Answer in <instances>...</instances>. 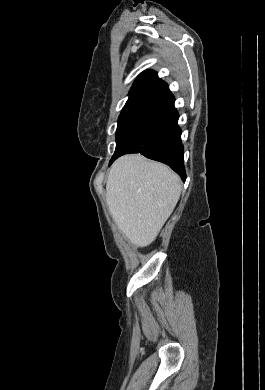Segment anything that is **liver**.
<instances>
[{
	"label": "liver",
	"instance_id": "6515ba94",
	"mask_svg": "<svg viewBox=\"0 0 265 390\" xmlns=\"http://www.w3.org/2000/svg\"><path fill=\"white\" fill-rule=\"evenodd\" d=\"M182 186L168 166L140 154L117 159L106 184V203L120 231L138 247L150 245L173 212Z\"/></svg>",
	"mask_w": 265,
	"mask_h": 390
}]
</instances>
